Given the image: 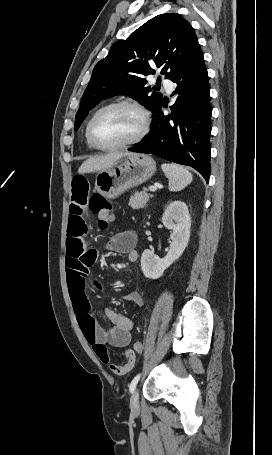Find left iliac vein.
<instances>
[{
	"label": "left iliac vein",
	"mask_w": 272,
	"mask_h": 455,
	"mask_svg": "<svg viewBox=\"0 0 272 455\" xmlns=\"http://www.w3.org/2000/svg\"><path fill=\"white\" fill-rule=\"evenodd\" d=\"M130 408L134 412L139 409V391L138 390H135L131 396Z\"/></svg>",
	"instance_id": "1"
}]
</instances>
